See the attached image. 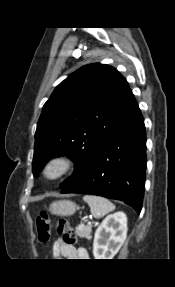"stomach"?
<instances>
[{
  "label": "stomach",
  "mask_w": 175,
  "mask_h": 287,
  "mask_svg": "<svg viewBox=\"0 0 175 287\" xmlns=\"http://www.w3.org/2000/svg\"><path fill=\"white\" fill-rule=\"evenodd\" d=\"M49 210L57 216H70L77 210V205L70 200H58L51 203Z\"/></svg>",
  "instance_id": "0dacf381"
}]
</instances>
